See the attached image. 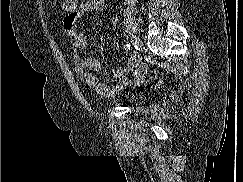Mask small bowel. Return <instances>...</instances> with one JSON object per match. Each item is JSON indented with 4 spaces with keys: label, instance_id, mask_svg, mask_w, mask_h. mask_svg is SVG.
<instances>
[{
    "label": "small bowel",
    "instance_id": "small-bowel-1",
    "mask_svg": "<svg viewBox=\"0 0 243 182\" xmlns=\"http://www.w3.org/2000/svg\"><path fill=\"white\" fill-rule=\"evenodd\" d=\"M105 7V0H86L73 14L67 15L63 20V30L69 37L72 47V63L78 78L86 84L99 97L109 98L128 85L139 84L144 77L146 66L140 64L137 56H131L123 68H114L111 73L114 85L107 86L100 83L92 72L101 69V63L94 58H85L82 54L85 48V36L79 28V23L93 10ZM133 73L132 77L129 75Z\"/></svg>",
    "mask_w": 243,
    "mask_h": 182
}]
</instances>
